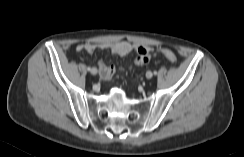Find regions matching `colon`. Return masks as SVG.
I'll use <instances>...</instances> for the list:
<instances>
[{
    "instance_id": "obj_1",
    "label": "colon",
    "mask_w": 244,
    "mask_h": 157,
    "mask_svg": "<svg viewBox=\"0 0 244 157\" xmlns=\"http://www.w3.org/2000/svg\"><path fill=\"white\" fill-rule=\"evenodd\" d=\"M160 53L171 62H176L177 61V56L171 50L163 49V50L160 51ZM135 60L138 61L139 63H144L145 64V63H147L149 61V56H148V54L145 51H139L137 53V56H136Z\"/></svg>"
}]
</instances>
